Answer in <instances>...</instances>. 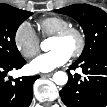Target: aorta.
I'll return each mask as SVG.
<instances>
[{
    "label": "aorta",
    "mask_w": 107,
    "mask_h": 107,
    "mask_svg": "<svg viewBox=\"0 0 107 107\" xmlns=\"http://www.w3.org/2000/svg\"><path fill=\"white\" fill-rule=\"evenodd\" d=\"M41 49L43 51H49L50 50L48 39L44 40L41 43ZM53 81L57 85H65L67 83V81H68V75L63 71H58V72L54 73Z\"/></svg>",
    "instance_id": "762f6f07"
}]
</instances>
